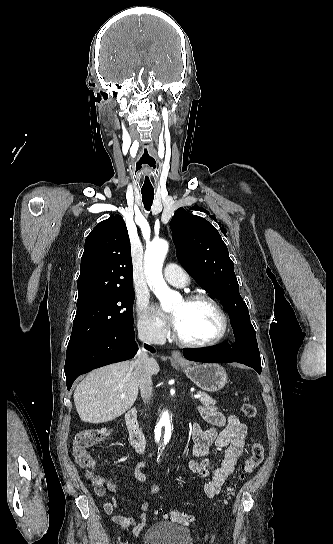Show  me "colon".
Segmentation results:
<instances>
[{
	"instance_id": "obj_1",
	"label": "colon",
	"mask_w": 333,
	"mask_h": 544,
	"mask_svg": "<svg viewBox=\"0 0 333 544\" xmlns=\"http://www.w3.org/2000/svg\"><path fill=\"white\" fill-rule=\"evenodd\" d=\"M241 410L248 418H254L257 414L255 405L251 403H244ZM110 432L111 430L108 428H87L79 431L75 437L74 454L76 462L79 466L89 471V477L93 483L98 481L99 476L94 475L92 472L95 468L96 462L93 456L89 453V449L108 437ZM263 458V445L259 442L254 443L251 446L250 453L242 466V471L239 478L243 480L246 476L253 473L260 466ZM234 492L235 487H229L227 490V496L231 497ZM164 515L166 519L184 525H190L193 522V516L191 514L180 510H169L165 512Z\"/></svg>"
}]
</instances>
